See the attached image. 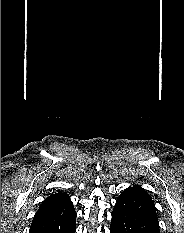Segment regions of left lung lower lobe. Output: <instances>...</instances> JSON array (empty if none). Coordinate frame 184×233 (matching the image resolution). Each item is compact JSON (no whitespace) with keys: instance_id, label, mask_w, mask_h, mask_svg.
I'll return each instance as SVG.
<instances>
[{"instance_id":"0a47b994","label":"left lung lower lobe","mask_w":184,"mask_h":233,"mask_svg":"<svg viewBox=\"0 0 184 233\" xmlns=\"http://www.w3.org/2000/svg\"><path fill=\"white\" fill-rule=\"evenodd\" d=\"M110 233H160L154 206L140 194L124 190L112 212Z\"/></svg>"}]
</instances>
